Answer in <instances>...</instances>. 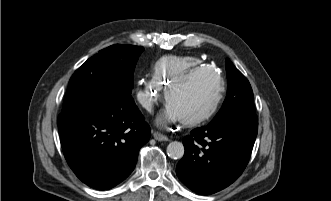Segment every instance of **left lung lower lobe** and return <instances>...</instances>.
Here are the masks:
<instances>
[{"mask_svg":"<svg viewBox=\"0 0 331 201\" xmlns=\"http://www.w3.org/2000/svg\"><path fill=\"white\" fill-rule=\"evenodd\" d=\"M258 131L256 116L211 121L184 137L185 154L176 174L192 191L209 195L232 184L244 171Z\"/></svg>","mask_w":331,"mask_h":201,"instance_id":"0a47b994","label":"left lung lower lobe"}]
</instances>
